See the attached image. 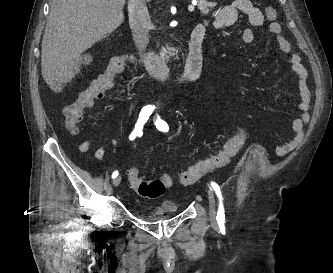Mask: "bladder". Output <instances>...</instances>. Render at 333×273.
<instances>
[{"label":"bladder","mask_w":333,"mask_h":273,"mask_svg":"<svg viewBox=\"0 0 333 273\" xmlns=\"http://www.w3.org/2000/svg\"><path fill=\"white\" fill-rule=\"evenodd\" d=\"M176 213L177 211L171 206L156 205L150 209L147 215L142 216V218H146L153 221H160L167 219L168 217H171Z\"/></svg>","instance_id":"bladder-1"}]
</instances>
